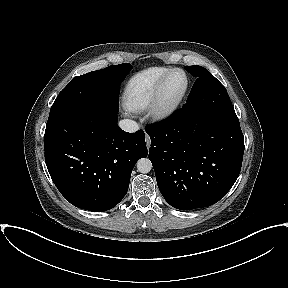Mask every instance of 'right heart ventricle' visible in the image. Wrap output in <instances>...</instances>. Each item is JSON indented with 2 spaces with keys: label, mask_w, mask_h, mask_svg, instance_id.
Listing matches in <instances>:
<instances>
[{
  "label": "right heart ventricle",
  "mask_w": 288,
  "mask_h": 288,
  "mask_svg": "<svg viewBox=\"0 0 288 288\" xmlns=\"http://www.w3.org/2000/svg\"><path fill=\"white\" fill-rule=\"evenodd\" d=\"M170 69L154 66L133 75L124 93L126 108L131 112H140L149 107L159 80Z\"/></svg>",
  "instance_id": "1"
}]
</instances>
